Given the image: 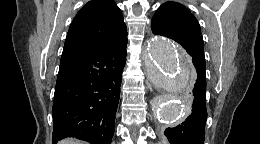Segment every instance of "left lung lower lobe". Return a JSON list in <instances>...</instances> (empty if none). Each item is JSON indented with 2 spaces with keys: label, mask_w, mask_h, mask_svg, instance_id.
Masks as SVG:
<instances>
[{
  "label": "left lung lower lobe",
  "mask_w": 260,
  "mask_h": 144,
  "mask_svg": "<svg viewBox=\"0 0 260 144\" xmlns=\"http://www.w3.org/2000/svg\"><path fill=\"white\" fill-rule=\"evenodd\" d=\"M196 63L203 53L192 48L185 49ZM189 102H193L191 114L184 122L175 127H169L164 134L171 144H203L205 140L206 110V76L198 70L197 80L192 92H189Z\"/></svg>",
  "instance_id": "1"
}]
</instances>
